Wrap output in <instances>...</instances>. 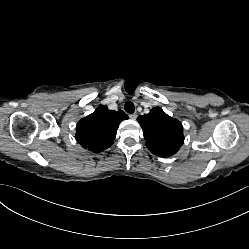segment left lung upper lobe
I'll return each instance as SVG.
<instances>
[{"instance_id":"5c2ea615","label":"left lung upper lobe","mask_w":249,"mask_h":249,"mask_svg":"<svg viewBox=\"0 0 249 249\" xmlns=\"http://www.w3.org/2000/svg\"><path fill=\"white\" fill-rule=\"evenodd\" d=\"M137 121L143 129L147 148L155 155L169 157L175 154L184 142L180 121L155 107L150 113L140 115Z\"/></svg>"}]
</instances>
